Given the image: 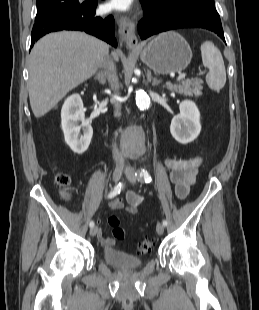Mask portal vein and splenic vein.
I'll return each instance as SVG.
<instances>
[{
  "instance_id": "18ae733b",
  "label": "portal vein and splenic vein",
  "mask_w": 259,
  "mask_h": 310,
  "mask_svg": "<svg viewBox=\"0 0 259 310\" xmlns=\"http://www.w3.org/2000/svg\"><path fill=\"white\" fill-rule=\"evenodd\" d=\"M185 77H186V74H185V73H182V74H180V75L178 76L177 81H181V80H183Z\"/></svg>"
}]
</instances>
